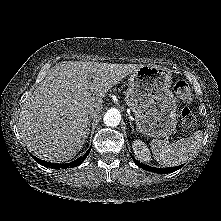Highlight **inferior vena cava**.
<instances>
[{"label": "inferior vena cava", "instance_id": "1", "mask_svg": "<svg viewBox=\"0 0 221 221\" xmlns=\"http://www.w3.org/2000/svg\"><path fill=\"white\" fill-rule=\"evenodd\" d=\"M99 111H100V109H98V108H90L88 110L89 118L90 117L92 118L93 116H96L99 113Z\"/></svg>", "mask_w": 221, "mask_h": 221}]
</instances>
